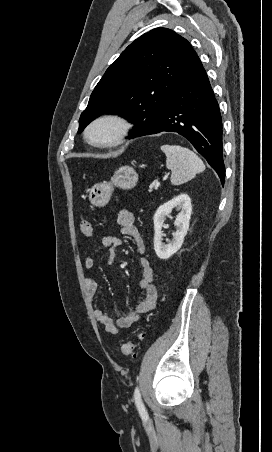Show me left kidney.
Here are the masks:
<instances>
[{
  "label": "left kidney",
  "instance_id": "1",
  "mask_svg": "<svg viewBox=\"0 0 272 452\" xmlns=\"http://www.w3.org/2000/svg\"><path fill=\"white\" fill-rule=\"evenodd\" d=\"M173 209L179 210L174 225L176 232L173 239L165 244L162 242V226L166 216H168ZM192 213L191 199L187 194H180L173 199L162 204L154 214V250L160 259H168L175 254L182 246L184 238L189 229V221Z\"/></svg>",
  "mask_w": 272,
  "mask_h": 452
}]
</instances>
